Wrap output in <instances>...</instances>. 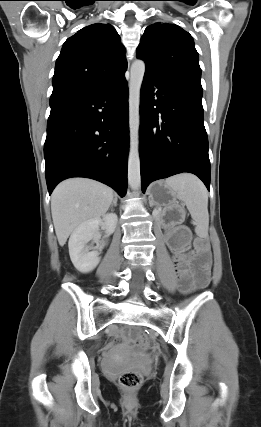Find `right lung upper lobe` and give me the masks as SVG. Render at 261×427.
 I'll return each instance as SVG.
<instances>
[{
  "label": "right lung upper lobe",
  "mask_w": 261,
  "mask_h": 427,
  "mask_svg": "<svg viewBox=\"0 0 261 427\" xmlns=\"http://www.w3.org/2000/svg\"><path fill=\"white\" fill-rule=\"evenodd\" d=\"M127 60L110 24H92L68 38L56 61L50 106L103 89L125 77Z\"/></svg>",
  "instance_id": "obj_1"
}]
</instances>
